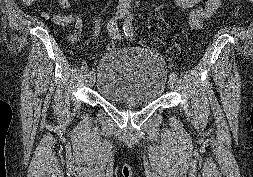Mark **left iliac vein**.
<instances>
[{"instance_id":"obj_1","label":"left iliac vein","mask_w":253,"mask_h":177,"mask_svg":"<svg viewBox=\"0 0 253 177\" xmlns=\"http://www.w3.org/2000/svg\"><path fill=\"white\" fill-rule=\"evenodd\" d=\"M168 86L172 90L175 89L176 88V80L169 78V80H168Z\"/></svg>"}]
</instances>
